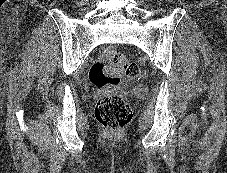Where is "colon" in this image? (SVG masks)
<instances>
[{"label":"colon","mask_w":227,"mask_h":173,"mask_svg":"<svg viewBox=\"0 0 227 173\" xmlns=\"http://www.w3.org/2000/svg\"><path fill=\"white\" fill-rule=\"evenodd\" d=\"M104 58L122 71L126 78L136 80L140 77L139 66L129 61L114 48H106ZM89 79L92 85L98 89L115 88L120 84L121 80L118 75L107 72L104 62H96L92 65ZM95 116L99 124L105 129L118 132L130 122L132 113L128 103L122 96L117 93H107L98 99L95 107Z\"/></svg>","instance_id":"colon-1"}]
</instances>
